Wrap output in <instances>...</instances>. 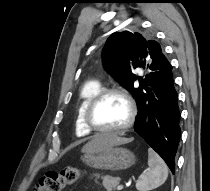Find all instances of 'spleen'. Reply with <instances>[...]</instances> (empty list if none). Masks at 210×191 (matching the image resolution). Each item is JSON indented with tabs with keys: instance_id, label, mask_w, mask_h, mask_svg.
<instances>
[{
	"instance_id": "obj_1",
	"label": "spleen",
	"mask_w": 210,
	"mask_h": 191,
	"mask_svg": "<svg viewBox=\"0 0 210 191\" xmlns=\"http://www.w3.org/2000/svg\"><path fill=\"white\" fill-rule=\"evenodd\" d=\"M150 170L139 176L136 182L138 191H149L161 186L168 177V168L163 159L151 148L148 149Z\"/></svg>"
}]
</instances>
